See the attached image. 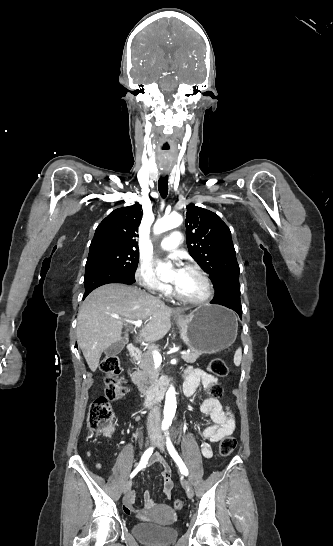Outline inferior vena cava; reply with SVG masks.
<instances>
[{
  "label": "inferior vena cava",
  "mask_w": 333,
  "mask_h": 546,
  "mask_svg": "<svg viewBox=\"0 0 333 546\" xmlns=\"http://www.w3.org/2000/svg\"><path fill=\"white\" fill-rule=\"evenodd\" d=\"M160 408L158 405L152 406L148 414L147 428L148 431L158 432L160 425Z\"/></svg>",
  "instance_id": "602c4592"
}]
</instances>
